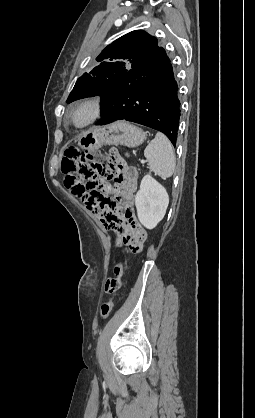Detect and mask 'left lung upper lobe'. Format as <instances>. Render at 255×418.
<instances>
[{
  "label": "left lung upper lobe",
  "mask_w": 255,
  "mask_h": 418,
  "mask_svg": "<svg viewBox=\"0 0 255 418\" xmlns=\"http://www.w3.org/2000/svg\"><path fill=\"white\" fill-rule=\"evenodd\" d=\"M159 48L155 37L135 30L108 45L97 57L99 64L84 73L71 91L67 103L75 100L103 96L115 87L126 73L152 56Z\"/></svg>",
  "instance_id": "1"
}]
</instances>
